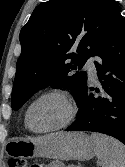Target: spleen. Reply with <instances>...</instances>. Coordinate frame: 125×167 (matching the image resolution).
I'll return each instance as SVG.
<instances>
[{
  "label": "spleen",
  "instance_id": "1",
  "mask_svg": "<svg viewBox=\"0 0 125 167\" xmlns=\"http://www.w3.org/2000/svg\"><path fill=\"white\" fill-rule=\"evenodd\" d=\"M91 138L96 144V155L101 167H125V145L100 133H93Z\"/></svg>",
  "mask_w": 125,
  "mask_h": 167
}]
</instances>
